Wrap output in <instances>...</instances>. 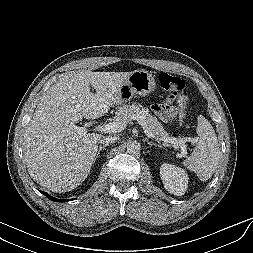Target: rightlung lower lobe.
<instances>
[{"label":"right lung lower lobe","mask_w":253,"mask_h":253,"mask_svg":"<svg viewBox=\"0 0 253 253\" xmlns=\"http://www.w3.org/2000/svg\"><path fill=\"white\" fill-rule=\"evenodd\" d=\"M42 194H44L47 198H49L50 200L52 201H55V202H66V201H69V200H61V199H56L50 195H48L47 193L43 192V191H40Z\"/></svg>","instance_id":"obj_1"}]
</instances>
